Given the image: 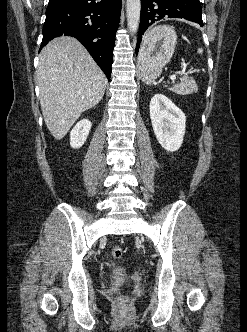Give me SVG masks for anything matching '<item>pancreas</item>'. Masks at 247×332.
<instances>
[{
	"instance_id": "obj_1",
	"label": "pancreas",
	"mask_w": 247,
	"mask_h": 332,
	"mask_svg": "<svg viewBox=\"0 0 247 332\" xmlns=\"http://www.w3.org/2000/svg\"><path fill=\"white\" fill-rule=\"evenodd\" d=\"M181 84L185 87V88H193V80L190 77H184L181 81Z\"/></svg>"
}]
</instances>
